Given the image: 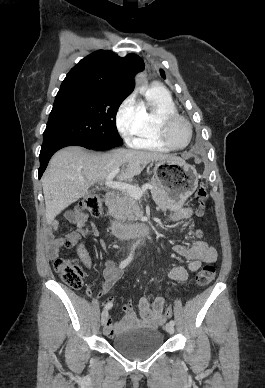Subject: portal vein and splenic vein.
Returning <instances> with one entry per match:
<instances>
[{
	"label": "portal vein and splenic vein",
	"mask_w": 265,
	"mask_h": 388,
	"mask_svg": "<svg viewBox=\"0 0 265 388\" xmlns=\"http://www.w3.org/2000/svg\"><path fill=\"white\" fill-rule=\"evenodd\" d=\"M120 168H115L109 176L106 178L105 186L108 188H115V190H123V192H128L131 198H141L146 190H153L151 184H144L142 188H136V186H130V184H125V182H113V178L119 174ZM81 182H85L83 178H80Z\"/></svg>",
	"instance_id": "1"
}]
</instances>
